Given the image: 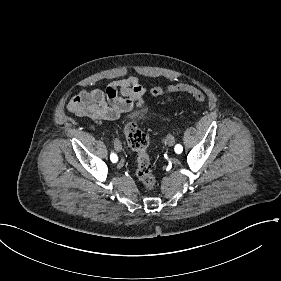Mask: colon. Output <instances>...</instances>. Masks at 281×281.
Returning a JSON list of instances; mask_svg holds the SVG:
<instances>
[{"mask_svg": "<svg viewBox=\"0 0 281 281\" xmlns=\"http://www.w3.org/2000/svg\"><path fill=\"white\" fill-rule=\"evenodd\" d=\"M177 90V86L169 88L170 92ZM180 91L189 93L198 102H203L206 100L205 94L200 90H196L195 87H186L185 84H182ZM151 93L153 95H159L164 93V90L159 87H156L151 90ZM125 134L132 149L136 153V175L147 191H153L156 183L150 162V155L148 151V139L134 122L128 123L125 126Z\"/></svg>", "mask_w": 281, "mask_h": 281, "instance_id": "obj_1", "label": "colon"}]
</instances>
